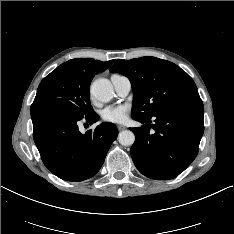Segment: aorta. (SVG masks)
Wrapping results in <instances>:
<instances>
[{
	"label": "aorta",
	"instance_id": "762f6f07",
	"mask_svg": "<svg viewBox=\"0 0 234 234\" xmlns=\"http://www.w3.org/2000/svg\"><path fill=\"white\" fill-rule=\"evenodd\" d=\"M91 94L99 101L108 102L113 98V86L108 79L99 78L91 84ZM118 141L123 146H131L135 141L134 133L130 130L121 131Z\"/></svg>",
	"mask_w": 234,
	"mask_h": 234
}]
</instances>
